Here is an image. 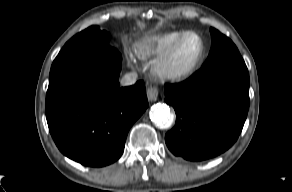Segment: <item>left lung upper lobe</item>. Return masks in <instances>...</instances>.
<instances>
[{"mask_svg": "<svg viewBox=\"0 0 292 192\" xmlns=\"http://www.w3.org/2000/svg\"><path fill=\"white\" fill-rule=\"evenodd\" d=\"M212 46L202 68L227 62H244L234 43L218 30L210 28Z\"/></svg>", "mask_w": 292, "mask_h": 192, "instance_id": "5c2ea615", "label": "left lung upper lobe"}]
</instances>
